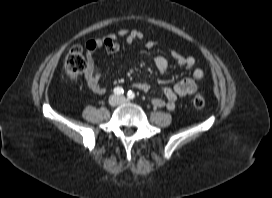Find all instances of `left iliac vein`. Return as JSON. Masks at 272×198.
<instances>
[{
	"mask_svg": "<svg viewBox=\"0 0 272 198\" xmlns=\"http://www.w3.org/2000/svg\"><path fill=\"white\" fill-rule=\"evenodd\" d=\"M120 102H121V103H125V102H126L125 97H120Z\"/></svg>",
	"mask_w": 272,
	"mask_h": 198,
	"instance_id": "1",
	"label": "left iliac vein"
}]
</instances>
